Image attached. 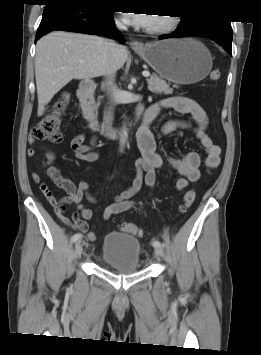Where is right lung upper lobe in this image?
I'll list each match as a JSON object with an SVG mask.
<instances>
[{
    "label": "right lung upper lobe",
    "instance_id": "obj_1",
    "mask_svg": "<svg viewBox=\"0 0 261 355\" xmlns=\"http://www.w3.org/2000/svg\"><path fill=\"white\" fill-rule=\"evenodd\" d=\"M46 2H53V1H58V0H45Z\"/></svg>",
    "mask_w": 261,
    "mask_h": 355
}]
</instances>
